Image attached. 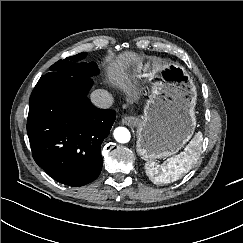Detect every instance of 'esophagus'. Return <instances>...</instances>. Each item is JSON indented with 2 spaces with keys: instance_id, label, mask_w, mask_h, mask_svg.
<instances>
[{
  "instance_id": "34e87169",
  "label": "esophagus",
  "mask_w": 243,
  "mask_h": 243,
  "mask_svg": "<svg viewBox=\"0 0 243 243\" xmlns=\"http://www.w3.org/2000/svg\"><path fill=\"white\" fill-rule=\"evenodd\" d=\"M121 122L126 125H133L136 123V119L134 117L125 116L121 119Z\"/></svg>"
}]
</instances>
